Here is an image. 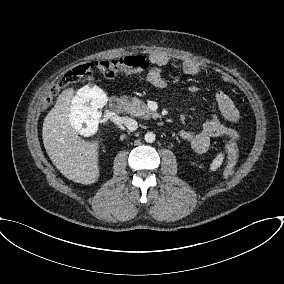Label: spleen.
Wrapping results in <instances>:
<instances>
[{
	"mask_svg": "<svg viewBox=\"0 0 284 284\" xmlns=\"http://www.w3.org/2000/svg\"><path fill=\"white\" fill-rule=\"evenodd\" d=\"M223 159L224 155L222 153L218 154L210 164V171H216L222 165Z\"/></svg>",
	"mask_w": 284,
	"mask_h": 284,
	"instance_id": "obj_1",
	"label": "spleen"
}]
</instances>
